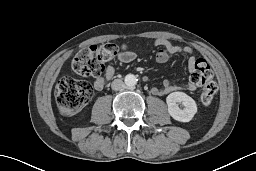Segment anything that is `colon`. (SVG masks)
Wrapping results in <instances>:
<instances>
[{"label":"colon","mask_w":256,"mask_h":171,"mask_svg":"<svg viewBox=\"0 0 256 171\" xmlns=\"http://www.w3.org/2000/svg\"><path fill=\"white\" fill-rule=\"evenodd\" d=\"M125 49V46H118L114 43L84 48L73 58L71 68L81 76H100L104 70V64ZM192 70L191 81L202 87L199 94L200 101L208 105L217 93L213 71L204 59L196 60ZM55 94L60 113L71 116L92 97L93 90L87 82L64 77L57 83Z\"/></svg>","instance_id":"colon-1"}]
</instances>
